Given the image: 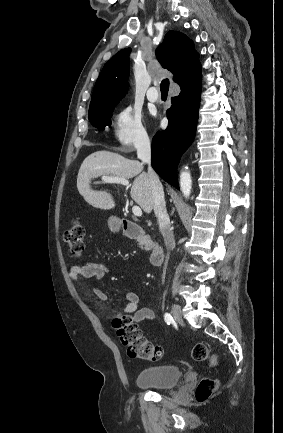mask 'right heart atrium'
Returning <instances> with one entry per match:
<instances>
[{
  "label": "right heart atrium",
  "instance_id": "1",
  "mask_svg": "<svg viewBox=\"0 0 283 433\" xmlns=\"http://www.w3.org/2000/svg\"><path fill=\"white\" fill-rule=\"evenodd\" d=\"M111 130L114 149L122 154H130L150 145L144 117L141 110L133 105L122 106L113 116Z\"/></svg>",
  "mask_w": 283,
  "mask_h": 433
}]
</instances>
